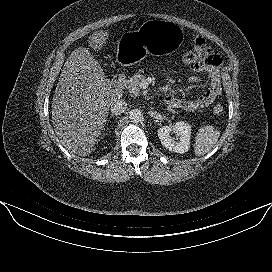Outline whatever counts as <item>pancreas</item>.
Listing matches in <instances>:
<instances>
[{
  "label": "pancreas",
  "instance_id": "1",
  "mask_svg": "<svg viewBox=\"0 0 272 272\" xmlns=\"http://www.w3.org/2000/svg\"><path fill=\"white\" fill-rule=\"evenodd\" d=\"M144 79L145 76L143 74L136 72L131 78L125 80L124 86L128 92L137 96L141 91L140 83Z\"/></svg>",
  "mask_w": 272,
  "mask_h": 272
}]
</instances>
